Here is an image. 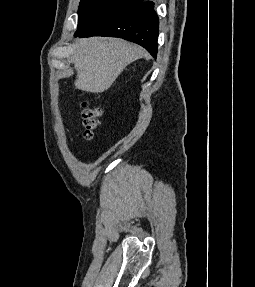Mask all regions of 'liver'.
I'll use <instances>...</instances> for the list:
<instances>
[{
	"instance_id": "liver-1",
	"label": "liver",
	"mask_w": 255,
	"mask_h": 287,
	"mask_svg": "<svg viewBox=\"0 0 255 287\" xmlns=\"http://www.w3.org/2000/svg\"><path fill=\"white\" fill-rule=\"evenodd\" d=\"M143 56V48L119 38H84L72 44L69 60L77 72L78 90L101 94L111 88L128 64Z\"/></svg>"
}]
</instances>
